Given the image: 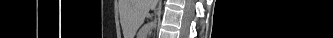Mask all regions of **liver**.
<instances>
[{"instance_id": "liver-1", "label": "liver", "mask_w": 333, "mask_h": 38, "mask_svg": "<svg viewBox=\"0 0 333 38\" xmlns=\"http://www.w3.org/2000/svg\"><path fill=\"white\" fill-rule=\"evenodd\" d=\"M156 3L157 0H135V2L123 1L121 10L133 6V16L137 28L143 23L148 11L156 6Z\"/></svg>"}]
</instances>
